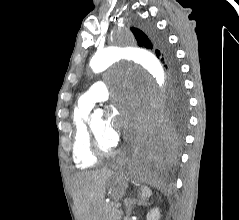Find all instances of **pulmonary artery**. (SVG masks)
<instances>
[{
    "instance_id": "pulmonary-artery-1",
    "label": "pulmonary artery",
    "mask_w": 239,
    "mask_h": 220,
    "mask_svg": "<svg viewBox=\"0 0 239 220\" xmlns=\"http://www.w3.org/2000/svg\"><path fill=\"white\" fill-rule=\"evenodd\" d=\"M109 98L108 86L104 81L92 84L79 98V103L92 107L97 102L106 101Z\"/></svg>"
}]
</instances>
